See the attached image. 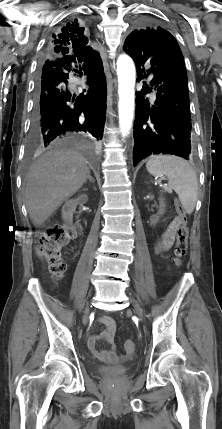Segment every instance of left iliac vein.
I'll return each instance as SVG.
<instances>
[{
	"instance_id": "obj_1",
	"label": "left iliac vein",
	"mask_w": 222,
	"mask_h": 429,
	"mask_svg": "<svg viewBox=\"0 0 222 429\" xmlns=\"http://www.w3.org/2000/svg\"><path fill=\"white\" fill-rule=\"evenodd\" d=\"M131 302L133 303V306H134V308H135V310H136L137 314H138L140 317H142V316H143V312H142V309H141L140 304L138 303V301H137V300H135V299H133V298H131Z\"/></svg>"
}]
</instances>
